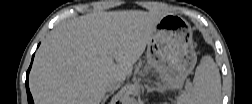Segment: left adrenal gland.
I'll return each mask as SVG.
<instances>
[{
    "mask_svg": "<svg viewBox=\"0 0 252 104\" xmlns=\"http://www.w3.org/2000/svg\"><path fill=\"white\" fill-rule=\"evenodd\" d=\"M145 87L147 89V93L152 92V91H158V92L160 91L159 88H155L153 86L145 85Z\"/></svg>",
    "mask_w": 252,
    "mask_h": 104,
    "instance_id": "left-adrenal-gland-1",
    "label": "left adrenal gland"
}]
</instances>
